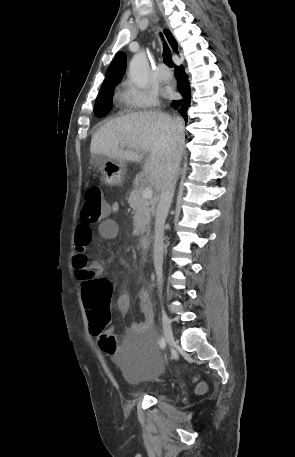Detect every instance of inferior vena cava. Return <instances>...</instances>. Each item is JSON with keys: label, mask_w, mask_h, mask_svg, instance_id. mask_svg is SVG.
<instances>
[{"label": "inferior vena cava", "mask_w": 295, "mask_h": 457, "mask_svg": "<svg viewBox=\"0 0 295 457\" xmlns=\"http://www.w3.org/2000/svg\"><path fill=\"white\" fill-rule=\"evenodd\" d=\"M176 123L180 125V120H176ZM180 158L181 156L179 151H176L173 157L168 159L166 171L161 179L160 199L156 208L153 260L160 292L162 288L163 277L162 264L164 224L174 195Z\"/></svg>", "instance_id": "obj_1"}]
</instances>
